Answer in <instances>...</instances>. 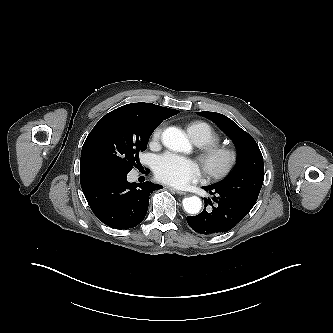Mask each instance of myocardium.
Returning <instances> with one entry per match:
<instances>
[{
	"mask_svg": "<svg viewBox=\"0 0 333 333\" xmlns=\"http://www.w3.org/2000/svg\"><path fill=\"white\" fill-rule=\"evenodd\" d=\"M199 159L208 178L221 180L235 170L240 155L238 150L231 146L209 145L202 149Z\"/></svg>",
	"mask_w": 333,
	"mask_h": 333,
	"instance_id": "myocardium-1",
	"label": "myocardium"
}]
</instances>
